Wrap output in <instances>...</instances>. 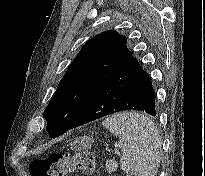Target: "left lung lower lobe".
I'll list each match as a JSON object with an SVG mask.
<instances>
[{"instance_id":"0a47b994","label":"left lung lower lobe","mask_w":205,"mask_h":176,"mask_svg":"<svg viewBox=\"0 0 205 176\" xmlns=\"http://www.w3.org/2000/svg\"><path fill=\"white\" fill-rule=\"evenodd\" d=\"M124 110L157 114L151 79L133 56L95 91L69 129Z\"/></svg>"}]
</instances>
